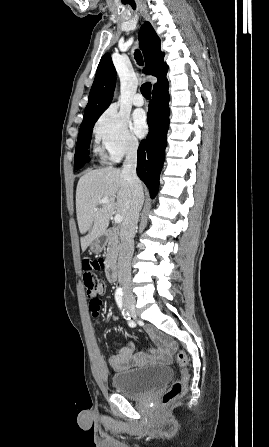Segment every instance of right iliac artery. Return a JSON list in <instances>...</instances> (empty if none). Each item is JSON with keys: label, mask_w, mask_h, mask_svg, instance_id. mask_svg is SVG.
Returning a JSON list of instances; mask_svg holds the SVG:
<instances>
[{"label": "right iliac artery", "mask_w": 269, "mask_h": 447, "mask_svg": "<svg viewBox=\"0 0 269 447\" xmlns=\"http://www.w3.org/2000/svg\"><path fill=\"white\" fill-rule=\"evenodd\" d=\"M115 299L117 302L118 307L122 310V315L126 320H128L129 326H135V323L131 320L130 315L128 312L125 311V309H122V289L118 288L115 292Z\"/></svg>", "instance_id": "right-iliac-artery-1"}]
</instances>
